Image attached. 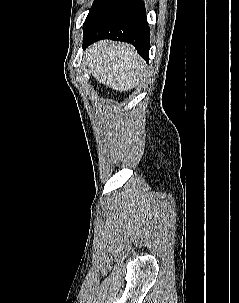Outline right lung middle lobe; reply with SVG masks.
<instances>
[{
    "instance_id": "1",
    "label": "right lung middle lobe",
    "mask_w": 239,
    "mask_h": 303,
    "mask_svg": "<svg viewBox=\"0 0 239 303\" xmlns=\"http://www.w3.org/2000/svg\"><path fill=\"white\" fill-rule=\"evenodd\" d=\"M109 0H94V3L89 11V14L85 20L83 28H86L91 24L93 19L99 13V11L106 5Z\"/></svg>"
}]
</instances>
